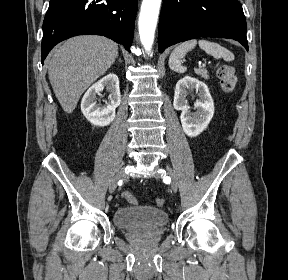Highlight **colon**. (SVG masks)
<instances>
[{
  "instance_id": "colon-1",
  "label": "colon",
  "mask_w": 288,
  "mask_h": 280,
  "mask_svg": "<svg viewBox=\"0 0 288 280\" xmlns=\"http://www.w3.org/2000/svg\"><path fill=\"white\" fill-rule=\"evenodd\" d=\"M216 74L220 81L223 92L232 93L235 90L237 78L234 68L227 63H219L216 67ZM124 197L131 203L136 204L137 200L131 193H125ZM155 203L158 207H162L165 203L164 199L157 198Z\"/></svg>"
}]
</instances>
